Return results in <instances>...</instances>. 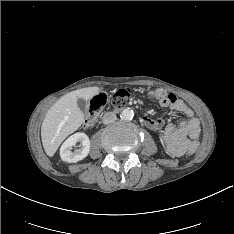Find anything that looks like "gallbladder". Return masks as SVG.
I'll use <instances>...</instances> for the list:
<instances>
[{
    "label": "gallbladder",
    "mask_w": 234,
    "mask_h": 234,
    "mask_svg": "<svg viewBox=\"0 0 234 234\" xmlns=\"http://www.w3.org/2000/svg\"><path fill=\"white\" fill-rule=\"evenodd\" d=\"M77 104H78V107L80 108L81 111L85 112L86 109H87V102L82 99V98H79L77 100Z\"/></svg>",
    "instance_id": "bac80fb5"
}]
</instances>
